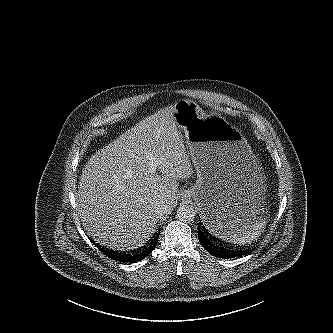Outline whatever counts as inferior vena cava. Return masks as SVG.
Returning <instances> with one entry per match:
<instances>
[{
    "label": "inferior vena cava",
    "mask_w": 333,
    "mask_h": 333,
    "mask_svg": "<svg viewBox=\"0 0 333 333\" xmlns=\"http://www.w3.org/2000/svg\"><path fill=\"white\" fill-rule=\"evenodd\" d=\"M156 212L158 213V215H162V214H165L168 212L166 206L164 204H159L157 209H156Z\"/></svg>",
    "instance_id": "1"
}]
</instances>
